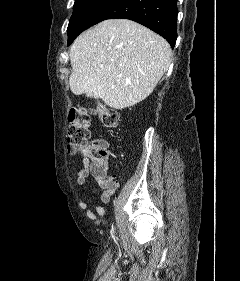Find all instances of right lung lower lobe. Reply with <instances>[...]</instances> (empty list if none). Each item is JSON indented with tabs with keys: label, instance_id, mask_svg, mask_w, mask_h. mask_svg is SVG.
<instances>
[{
	"label": "right lung lower lobe",
	"instance_id": "1",
	"mask_svg": "<svg viewBox=\"0 0 240 281\" xmlns=\"http://www.w3.org/2000/svg\"><path fill=\"white\" fill-rule=\"evenodd\" d=\"M177 0H117L95 22L115 18L138 22L176 43Z\"/></svg>",
	"mask_w": 240,
	"mask_h": 281
}]
</instances>
